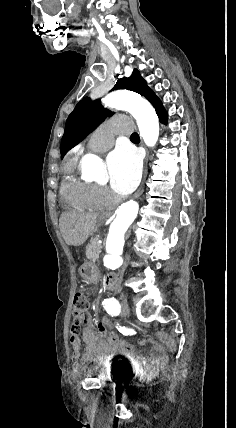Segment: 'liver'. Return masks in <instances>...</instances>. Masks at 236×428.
Listing matches in <instances>:
<instances>
[{
	"mask_svg": "<svg viewBox=\"0 0 236 428\" xmlns=\"http://www.w3.org/2000/svg\"><path fill=\"white\" fill-rule=\"evenodd\" d=\"M98 222V214L64 212L59 220L60 232L67 246H81L91 236Z\"/></svg>",
	"mask_w": 236,
	"mask_h": 428,
	"instance_id": "1",
	"label": "liver"
}]
</instances>
